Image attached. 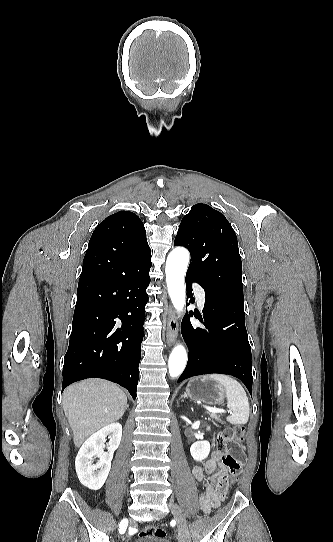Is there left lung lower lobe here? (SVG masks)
<instances>
[{
    "label": "left lung lower lobe",
    "mask_w": 333,
    "mask_h": 542,
    "mask_svg": "<svg viewBox=\"0 0 333 542\" xmlns=\"http://www.w3.org/2000/svg\"><path fill=\"white\" fill-rule=\"evenodd\" d=\"M192 282L201 285L199 280L186 274L187 299L193 295ZM243 302L235 295L205 290L203 319L196 311L189 312V316L198 318L205 329L193 327L187 316L182 321L181 330L189 357L178 382L202 374H228L240 379L252 394L251 348Z\"/></svg>",
    "instance_id": "0a47b994"
}]
</instances>
